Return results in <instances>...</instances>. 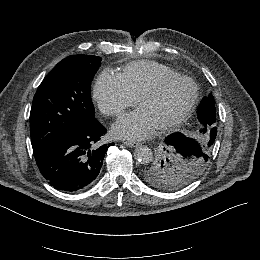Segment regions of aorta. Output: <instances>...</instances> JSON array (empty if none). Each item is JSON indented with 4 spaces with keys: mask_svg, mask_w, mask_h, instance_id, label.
I'll list each match as a JSON object with an SVG mask.
<instances>
[{
    "mask_svg": "<svg viewBox=\"0 0 260 260\" xmlns=\"http://www.w3.org/2000/svg\"><path fill=\"white\" fill-rule=\"evenodd\" d=\"M134 156L138 162L146 164L153 158V153L147 146H140L135 149Z\"/></svg>",
    "mask_w": 260,
    "mask_h": 260,
    "instance_id": "obj_1",
    "label": "aorta"
}]
</instances>
